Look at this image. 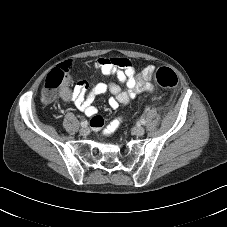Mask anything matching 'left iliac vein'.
<instances>
[{"label":"left iliac vein","mask_w":227,"mask_h":227,"mask_svg":"<svg viewBox=\"0 0 227 227\" xmlns=\"http://www.w3.org/2000/svg\"><path fill=\"white\" fill-rule=\"evenodd\" d=\"M133 133L137 136H142L145 133V129L141 126H136L133 128Z\"/></svg>","instance_id":"left-iliac-vein-1"}]
</instances>
